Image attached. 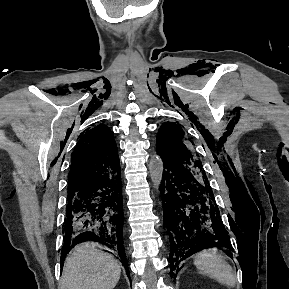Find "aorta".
I'll return each mask as SVG.
<instances>
[{
  "label": "aorta",
  "instance_id": "obj_1",
  "mask_svg": "<svg viewBox=\"0 0 289 289\" xmlns=\"http://www.w3.org/2000/svg\"><path fill=\"white\" fill-rule=\"evenodd\" d=\"M148 168L151 181L154 187L158 189L162 180V173H163L162 159L158 155H153L150 158Z\"/></svg>",
  "mask_w": 289,
  "mask_h": 289
}]
</instances>
